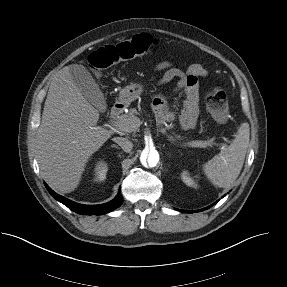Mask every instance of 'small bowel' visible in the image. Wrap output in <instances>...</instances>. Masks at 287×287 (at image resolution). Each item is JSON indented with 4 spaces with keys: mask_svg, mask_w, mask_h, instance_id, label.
<instances>
[{
    "mask_svg": "<svg viewBox=\"0 0 287 287\" xmlns=\"http://www.w3.org/2000/svg\"><path fill=\"white\" fill-rule=\"evenodd\" d=\"M158 72H162L160 77L156 76V73ZM206 75V69L200 64L190 65L186 72L172 65L168 61L159 63L155 68V73L152 76V80L156 84L163 85L177 78L178 83L173 92L176 93L183 90L186 93L184 107L178 119L180 126L185 130L192 129L196 125L199 118L200 107L198 80ZM152 108L161 123L175 120L174 114L167 106L166 95H153Z\"/></svg>",
    "mask_w": 287,
    "mask_h": 287,
    "instance_id": "obj_1",
    "label": "small bowel"
}]
</instances>
